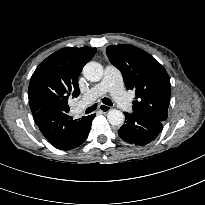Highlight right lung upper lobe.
<instances>
[{
  "label": "right lung upper lobe",
  "instance_id": "right-lung-upper-lobe-1",
  "mask_svg": "<svg viewBox=\"0 0 205 205\" xmlns=\"http://www.w3.org/2000/svg\"><path fill=\"white\" fill-rule=\"evenodd\" d=\"M96 48L66 47L47 57L33 73L28 89L32 114L40 109L53 106L69 112L68 99L80 94L78 77L83 66L92 59ZM66 101L62 109L56 103Z\"/></svg>",
  "mask_w": 205,
  "mask_h": 205
}]
</instances>
